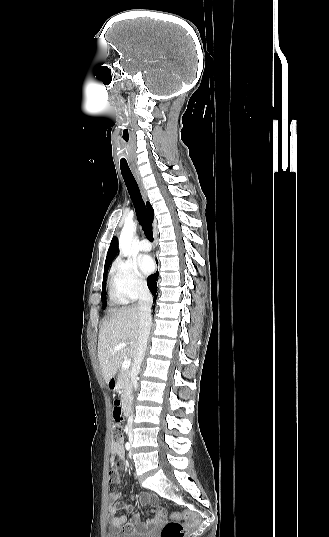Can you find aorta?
<instances>
[{"instance_id": "obj_1", "label": "aorta", "mask_w": 329, "mask_h": 537, "mask_svg": "<svg viewBox=\"0 0 329 537\" xmlns=\"http://www.w3.org/2000/svg\"><path fill=\"white\" fill-rule=\"evenodd\" d=\"M136 226L134 223L127 222L122 228L119 237V249L123 256H128L131 250L133 235Z\"/></svg>"}]
</instances>
